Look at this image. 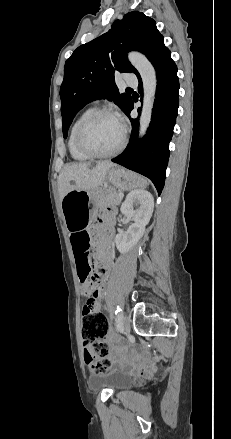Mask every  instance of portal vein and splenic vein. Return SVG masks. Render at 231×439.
I'll return each instance as SVG.
<instances>
[{
	"label": "portal vein and splenic vein",
	"mask_w": 231,
	"mask_h": 439,
	"mask_svg": "<svg viewBox=\"0 0 231 439\" xmlns=\"http://www.w3.org/2000/svg\"><path fill=\"white\" fill-rule=\"evenodd\" d=\"M119 196L122 198V197H123V194H122V193H119Z\"/></svg>",
	"instance_id": "obj_1"
}]
</instances>
